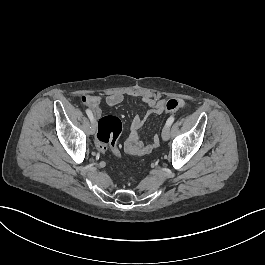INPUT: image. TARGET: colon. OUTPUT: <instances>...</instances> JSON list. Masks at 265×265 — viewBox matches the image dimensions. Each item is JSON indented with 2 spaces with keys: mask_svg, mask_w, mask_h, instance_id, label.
Returning a JSON list of instances; mask_svg holds the SVG:
<instances>
[{
  "mask_svg": "<svg viewBox=\"0 0 265 265\" xmlns=\"http://www.w3.org/2000/svg\"><path fill=\"white\" fill-rule=\"evenodd\" d=\"M179 103L175 98L170 97L164 103V113L170 116L173 111L181 110ZM122 133V122L114 115H105L99 119L98 130L96 135V146L101 152L107 150L108 147H114L119 142V137Z\"/></svg>",
  "mask_w": 265,
  "mask_h": 265,
  "instance_id": "5ec220e1",
  "label": "colon"
}]
</instances>
